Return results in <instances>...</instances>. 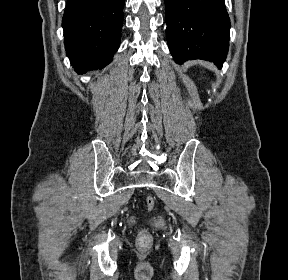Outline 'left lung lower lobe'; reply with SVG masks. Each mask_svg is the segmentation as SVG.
I'll return each instance as SVG.
<instances>
[{
  "label": "left lung lower lobe",
  "instance_id": "1",
  "mask_svg": "<svg viewBox=\"0 0 288 280\" xmlns=\"http://www.w3.org/2000/svg\"><path fill=\"white\" fill-rule=\"evenodd\" d=\"M167 42L176 63L202 59L221 67L229 46L224 0H164Z\"/></svg>",
  "mask_w": 288,
  "mask_h": 280
}]
</instances>
